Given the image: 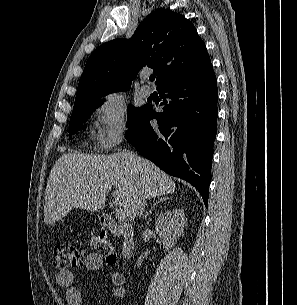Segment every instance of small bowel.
Segmentation results:
<instances>
[{
    "instance_id": "small-bowel-1",
    "label": "small bowel",
    "mask_w": 297,
    "mask_h": 305,
    "mask_svg": "<svg viewBox=\"0 0 297 305\" xmlns=\"http://www.w3.org/2000/svg\"><path fill=\"white\" fill-rule=\"evenodd\" d=\"M84 267L91 272L98 271L103 266V259L98 253H89L84 257ZM56 283L66 289V300L69 305H85L82 291L74 285V275L71 271L63 270L55 274ZM114 288L112 294L120 304L126 296L123 284L125 282L124 275L121 272H113L111 274Z\"/></svg>"
}]
</instances>
